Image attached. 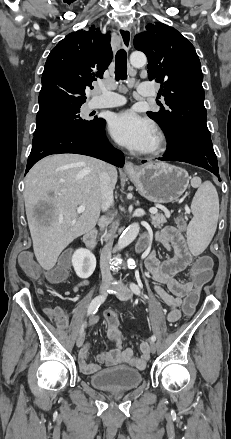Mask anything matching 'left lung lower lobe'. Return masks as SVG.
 Wrapping results in <instances>:
<instances>
[{
	"mask_svg": "<svg viewBox=\"0 0 231 439\" xmlns=\"http://www.w3.org/2000/svg\"><path fill=\"white\" fill-rule=\"evenodd\" d=\"M166 153L158 158L161 161H181L207 169L219 177L217 157L213 150L210 137L182 132L173 138L167 139ZM146 162L145 160L142 163Z\"/></svg>",
	"mask_w": 231,
	"mask_h": 439,
	"instance_id": "obj_1",
	"label": "left lung lower lobe"
}]
</instances>
